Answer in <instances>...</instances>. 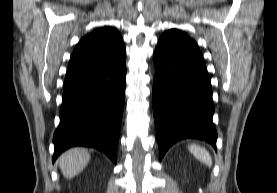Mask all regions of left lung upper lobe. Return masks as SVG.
<instances>
[{"instance_id":"1","label":"left lung upper lobe","mask_w":277,"mask_h":193,"mask_svg":"<svg viewBox=\"0 0 277 193\" xmlns=\"http://www.w3.org/2000/svg\"><path fill=\"white\" fill-rule=\"evenodd\" d=\"M162 36L175 38V39L182 41L188 45L198 48L196 42L193 39H191L186 33L179 31L177 29L168 30Z\"/></svg>"}]
</instances>
